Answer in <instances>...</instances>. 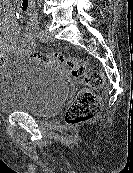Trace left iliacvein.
Masks as SVG:
<instances>
[{
  "mask_svg": "<svg viewBox=\"0 0 133 173\" xmlns=\"http://www.w3.org/2000/svg\"><path fill=\"white\" fill-rule=\"evenodd\" d=\"M44 34V41L46 42H52L53 41V36L51 32L49 31L48 27H46L43 31Z\"/></svg>",
  "mask_w": 133,
  "mask_h": 173,
  "instance_id": "1",
  "label": "left iliac vein"
}]
</instances>
